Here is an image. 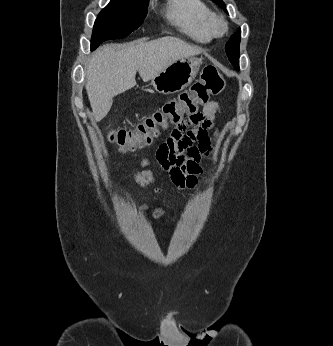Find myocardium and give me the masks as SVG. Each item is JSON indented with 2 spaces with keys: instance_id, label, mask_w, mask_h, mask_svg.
<instances>
[{
  "instance_id": "obj_1",
  "label": "myocardium",
  "mask_w": 333,
  "mask_h": 346,
  "mask_svg": "<svg viewBox=\"0 0 333 346\" xmlns=\"http://www.w3.org/2000/svg\"><path fill=\"white\" fill-rule=\"evenodd\" d=\"M211 29L214 36H223L228 32V24L221 16H214L211 22Z\"/></svg>"
}]
</instances>
